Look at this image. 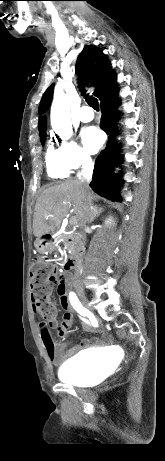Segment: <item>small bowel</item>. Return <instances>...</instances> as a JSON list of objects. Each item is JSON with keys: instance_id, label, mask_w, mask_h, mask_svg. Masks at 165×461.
Wrapping results in <instances>:
<instances>
[{"instance_id": "small-bowel-1", "label": "small bowel", "mask_w": 165, "mask_h": 461, "mask_svg": "<svg viewBox=\"0 0 165 461\" xmlns=\"http://www.w3.org/2000/svg\"><path fill=\"white\" fill-rule=\"evenodd\" d=\"M58 276L59 277H57L56 283L57 298L60 299V304L65 311L62 316V321L61 323H59L56 314H54L50 318H45V320L41 322L39 325L40 331L42 333L43 345L46 350L47 356L54 364H58L62 361L71 358L81 349L88 348L92 345L98 344L97 339H84L80 344L71 348H66L63 344L53 342L52 345H49L45 342L43 333L47 328H56L58 335L60 337H64L69 333L70 328L73 324L72 304L68 298L69 293L67 291V278L65 279L63 277V272H59ZM34 310L35 312L39 313L35 306ZM84 328L86 330L92 329V327L88 323L84 324Z\"/></svg>"}]
</instances>
